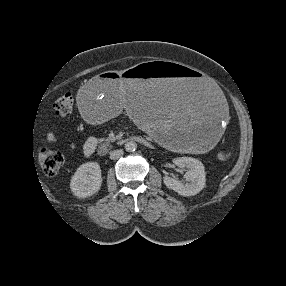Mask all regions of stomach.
Returning a JSON list of instances; mask_svg holds the SVG:
<instances>
[{
	"label": "stomach",
	"mask_w": 286,
	"mask_h": 286,
	"mask_svg": "<svg viewBox=\"0 0 286 286\" xmlns=\"http://www.w3.org/2000/svg\"><path fill=\"white\" fill-rule=\"evenodd\" d=\"M75 108L90 123L116 119L126 110L138 127L180 154L213 147L227 120L226 102L213 83L168 60L96 75L78 92Z\"/></svg>",
	"instance_id": "1"
}]
</instances>
